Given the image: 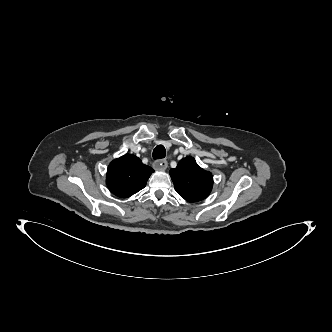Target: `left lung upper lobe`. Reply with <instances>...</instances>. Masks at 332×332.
Returning <instances> with one entry per match:
<instances>
[{"label": "left lung upper lobe", "mask_w": 332, "mask_h": 332, "mask_svg": "<svg viewBox=\"0 0 332 332\" xmlns=\"http://www.w3.org/2000/svg\"><path fill=\"white\" fill-rule=\"evenodd\" d=\"M176 191L189 202H198L208 197L213 186L212 174L202 169L193 157L180 160L170 170Z\"/></svg>", "instance_id": "obj_1"}]
</instances>
